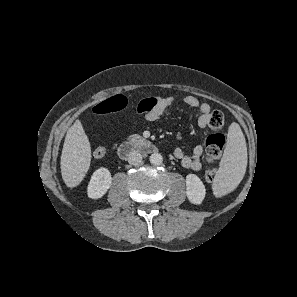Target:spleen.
<instances>
[{
  "label": "spleen",
  "instance_id": "obj_1",
  "mask_svg": "<svg viewBox=\"0 0 297 297\" xmlns=\"http://www.w3.org/2000/svg\"><path fill=\"white\" fill-rule=\"evenodd\" d=\"M247 159L245 137L239 124L234 122L228 130L227 145L217 174L223 190L228 192L238 186L245 174Z\"/></svg>",
  "mask_w": 297,
  "mask_h": 297
}]
</instances>
